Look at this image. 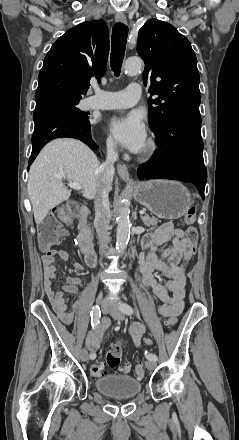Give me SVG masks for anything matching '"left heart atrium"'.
<instances>
[{
  "instance_id": "1",
  "label": "left heart atrium",
  "mask_w": 239,
  "mask_h": 440,
  "mask_svg": "<svg viewBox=\"0 0 239 440\" xmlns=\"http://www.w3.org/2000/svg\"><path fill=\"white\" fill-rule=\"evenodd\" d=\"M105 128L112 141L133 153H139L146 145L145 124L137 112L114 114L106 119Z\"/></svg>"
}]
</instances>
